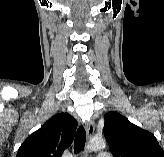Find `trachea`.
<instances>
[{
	"instance_id": "3493384b",
	"label": "trachea",
	"mask_w": 164,
	"mask_h": 157,
	"mask_svg": "<svg viewBox=\"0 0 164 157\" xmlns=\"http://www.w3.org/2000/svg\"><path fill=\"white\" fill-rule=\"evenodd\" d=\"M86 141V132L83 126H80L77 130L75 141H74V152L78 153L84 149Z\"/></svg>"
}]
</instances>
